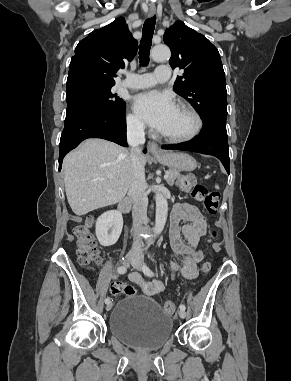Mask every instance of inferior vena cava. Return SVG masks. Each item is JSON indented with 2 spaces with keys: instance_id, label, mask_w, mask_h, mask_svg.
<instances>
[{
  "instance_id": "obj_1",
  "label": "inferior vena cava",
  "mask_w": 291,
  "mask_h": 381,
  "mask_svg": "<svg viewBox=\"0 0 291 381\" xmlns=\"http://www.w3.org/2000/svg\"><path fill=\"white\" fill-rule=\"evenodd\" d=\"M127 142L131 146L130 161L132 169L128 193L133 199V227L137 230L147 220L148 205L144 164L141 152V145L145 143L144 125L142 122L133 120L127 123ZM141 244V237L135 234L130 253L138 254L141 251Z\"/></svg>"
}]
</instances>
